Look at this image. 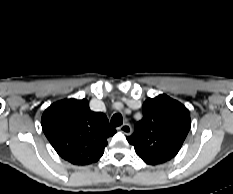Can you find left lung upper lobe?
Returning <instances> with one entry per match:
<instances>
[{"instance_id": "5c2ea615", "label": "left lung upper lobe", "mask_w": 233, "mask_h": 194, "mask_svg": "<svg viewBox=\"0 0 233 194\" xmlns=\"http://www.w3.org/2000/svg\"><path fill=\"white\" fill-rule=\"evenodd\" d=\"M143 118L127 140L136 154L148 164L169 161L180 150L191 126L188 109L180 102L159 95L142 106Z\"/></svg>"}]
</instances>
